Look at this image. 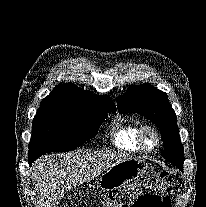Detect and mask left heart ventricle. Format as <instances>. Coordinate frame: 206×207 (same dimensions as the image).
Here are the masks:
<instances>
[{
  "instance_id": "left-heart-ventricle-1",
  "label": "left heart ventricle",
  "mask_w": 206,
  "mask_h": 207,
  "mask_svg": "<svg viewBox=\"0 0 206 207\" xmlns=\"http://www.w3.org/2000/svg\"><path fill=\"white\" fill-rule=\"evenodd\" d=\"M146 142L149 146L153 145L155 142V138L151 133L146 134Z\"/></svg>"
}]
</instances>
